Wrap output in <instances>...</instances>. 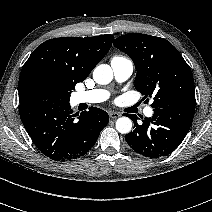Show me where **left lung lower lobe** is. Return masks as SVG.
<instances>
[{"instance_id": "0a47b994", "label": "left lung lower lobe", "mask_w": 212, "mask_h": 212, "mask_svg": "<svg viewBox=\"0 0 212 212\" xmlns=\"http://www.w3.org/2000/svg\"><path fill=\"white\" fill-rule=\"evenodd\" d=\"M195 112V103L179 102L154 109L151 118L141 125L137 116L130 114L134 130L125 136L128 145L137 153L159 158L172 153L186 136Z\"/></svg>"}]
</instances>
